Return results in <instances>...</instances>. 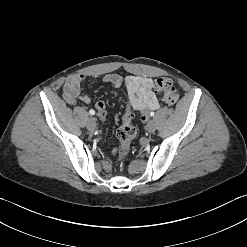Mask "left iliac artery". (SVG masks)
I'll list each match as a JSON object with an SVG mask.
<instances>
[{"instance_id": "1", "label": "left iliac artery", "mask_w": 247, "mask_h": 247, "mask_svg": "<svg viewBox=\"0 0 247 247\" xmlns=\"http://www.w3.org/2000/svg\"><path fill=\"white\" fill-rule=\"evenodd\" d=\"M154 115H155V113H154V112H151V113H150V116H154Z\"/></svg>"}]
</instances>
